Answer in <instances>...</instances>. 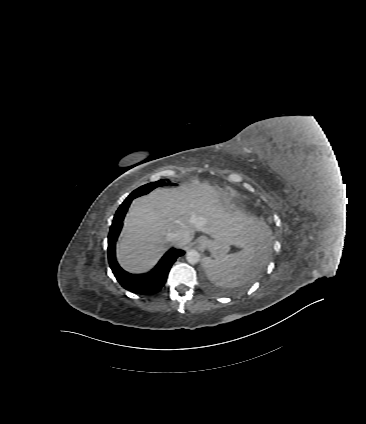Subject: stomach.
<instances>
[{
	"label": "stomach",
	"mask_w": 366,
	"mask_h": 424,
	"mask_svg": "<svg viewBox=\"0 0 366 424\" xmlns=\"http://www.w3.org/2000/svg\"><path fill=\"white\" fill-rule=\"evenodd\" d=\"M200 245L208 249L215 258L225 256L230 250V245L219 239L204 238V240L200 242Z\"/></svg>",
	"instance_id": "1"
}]
</instances>
